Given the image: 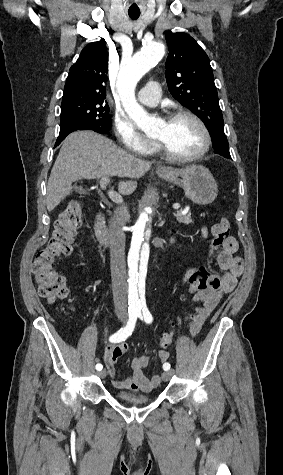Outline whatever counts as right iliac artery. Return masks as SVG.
<instances>
[{
    "instance_id": "right-iliac-artery-1",
    "label": "right iliac artery",
    "mask_w": 283,
    "mask_h": 475,
    "mask_svg": "<svg viewBox=\"0 0 283 475\" xmlns=\"http://www.w3.org/2000/svg\"><path fill=\"white\" fill-rule=\"evenodd\" d=\"M138 314L137 312H132L129 314V320L127 322V325L124 328H121L117 333L113 334L110 338V342L118 343L121 341H125L127 337H129L135 327V323L137 321ZM103 366L102 364H97L96 369L98 371L102 370Z\"/></svg>"
}]
</instances>
